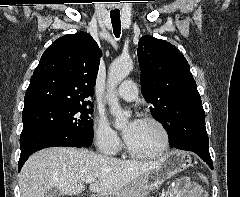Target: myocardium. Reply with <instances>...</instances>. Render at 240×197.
Here are the masks:
<instances>
[{
	"instance_id": "obj_1",
	"label": "myocardium",
	"mask_w": 240,
	"mask_h": 197,
	"mask_svg": "<svg viewBox=\"0 0 240 197\" xmlns=\"http://www.w3.org/2000/svg\"><path fill=\"white\" fill-rule=\"evenodd\" d=\"M142 121H146L149 123L154 124L160 131L161 136H162V144L160 148L154 152L151 153H139L134 151L130 146L125 143V151L126 153L131 156L132 158L135 159H143V160H148V159H155L160 156H162L169 148L170 145V137H169V132L164 123L159 120L158 118L151 116V115H146L142 118Z\"/></svg>"
}]
</instances>
